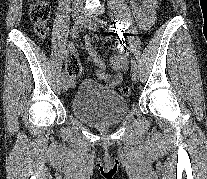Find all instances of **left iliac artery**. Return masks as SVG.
I'll return each instance as SVG.
<instances>
[{"instance_id":"left-iliac-artery-1","label":"left iliac artery","mask_w":207,"mask_h":179,"mask_svg":"<svg viewBox=\"0 0 207 179\" xmlns=\"http://www.w3.org/2000/svg\"><path fill=\"white\" fill-rule=\"evenodd\" d=\"M101 25H102V27H104V26H106L107 25V28L108 29H111L112 28V26H113V23H111V22H105V21H100L99 22ZM118 24V22L116 23V25ZM131 65H132V68L133 67H135V68H137V64H136V61L133 59V60H131Z\"/></svg>"}]
</instances>
